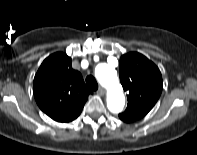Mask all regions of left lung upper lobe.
I'll use <instances>...</instances> for the list:
<instances>
[{
  "mask_svg": "<svg viewBox=\"0 0 197 155\" xmlns=\"http://www.w3.org/2000/svg\"><path fill=\"white\" fill-rule=\"evenodd\" d=\"M119 75L124 90L128 92V106L119 118L124 122L141 119L161 95V72L144 55L131 52L120 58Z\"/></svg>",
  "mask_w": 197,
  "mask_h": 155,
  "instance_id": "5c2ea615",
  "label": "left lung upper lobe"
}]
</instances>
